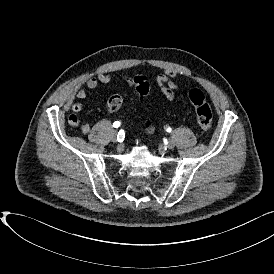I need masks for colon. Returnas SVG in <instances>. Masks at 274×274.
Listing matches in <instances>:
<instances>
[{
  "label": "colon",
  "instance_id": "1",
  "mask_svg": "<svg viewBox=\"0 0 274 274\" xmlns=\"http://www.w3.org/2000/svg\"><path fill=\"white\" fill-rule=\"evenodd\" d=\"M131 84L136 87L137 91L145 94L149 91V83L147 79L138 75L131 80ZM189 99L195 109L197 118V124L200 131L206 133L210 130L212 124V111L209 104L206 101L204 94L199 89H192L189 92ZM122 104L121 99H115L109 101L108 107L112 111H117ZM68 124L72 127L80 125V121L76 115H70L68 118Z\"/></svg>",
  "mask_w": 274,
  "mask_h": 274
}]
</instances>
